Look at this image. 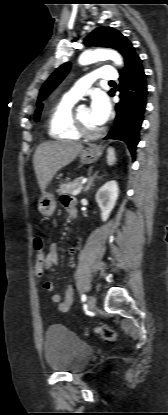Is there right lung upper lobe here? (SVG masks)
Returning <instances> with one entry per match:
<instances>
[{"label": "right lung upper lobe", "instance_id": "right-lung-upper-lobe-1", "mask_svg": "<svg viewBox=\"0 0 168 415\" xmlns=\"http://www.w3.org/2000/svg\"><path fill=\"white\" fill-rule=\"evenodd\" d=\"M41 108H42V106H40V107L37 109V111H36V113H35V114L40 113V112H41Z\"/></svg>", "mask_w": 168, "mask_h": 415}]
</instances>
